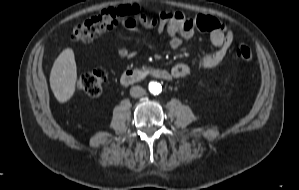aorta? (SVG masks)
Wrapping results in <instances>:
<instances>
[{
    "mask_svg": "<svg viewBox=\"0 0 299 190\" xmlns=\"http://www.w3.org/2000/svg\"><path fill=\"white\" fill-rule=\"evenodd\" d=\"M149 91L154 94V95H158L161 93L162 91V86L160 83L157 82H150L149 86H148Z\"/></svg>",
    "mask_w": 299,
    "mask_h": 190,
    "instance_id": "aorta-1",
    "label": "aorta"
}]
</instances>
